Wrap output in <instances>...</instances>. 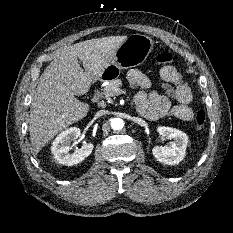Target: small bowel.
<instances>
[{
    "label": "small bowel",
    "mask_w": 233,
    "mask_h": 233,
    "mask_svg": "<svg viewBox=\"0 0 233 233\" xmlns=\"http://www.w3.org/2000/svg\"><path fill=\"white\" fill-rule=\"evenodd\" d=\"M129 83L140 90L135 95V104L141 115L150 120L164 117H175L179 120L190 122L194 113L189 104L192 101V92L181 77L175 85H165L167 90H174L176 104L151 88L150 79L138 69H132L127 74Z\"/></svg>",
    "instance_id": "obj_1"
}]
</instances>
